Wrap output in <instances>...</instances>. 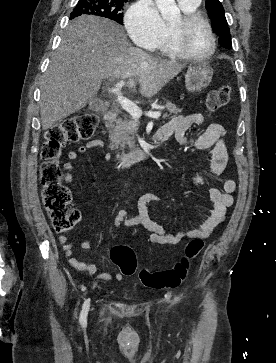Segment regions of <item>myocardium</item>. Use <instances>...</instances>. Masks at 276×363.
Returning a JSON list of instances; mask_svg holds the SVG:
<instances>
[{"label":"myocardium","mask_w":276,"mask_h":363,"mask_svg":"<svg viewBox=\"0 0 276 363\" xmlns=\"http://www.w3.org/2000/svg\"><path fill=\"white\" fill-rule=\"evenodd\" d=\"M198 23L204 24L211 39L210 50L203 55H197L190 52L184 43V37L187 31ZM172 42L174 47L180 53L181 57L198 62L210 59L214 55L217 48L216 37L210 22L205 16L196 11L184 14L179 23L172 25Z\"/></svg>","instance_id":"f54148a6"}]
</instances>
